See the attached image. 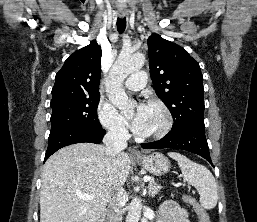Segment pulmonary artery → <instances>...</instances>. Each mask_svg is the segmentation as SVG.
I'll list each match as a JSON object with an SVG mask.
<instances>
[{"label":"pulmonary artery","instance_id":"e3ab8cb5","mask_svg":"<svg viewBox=\"0 0 257 222\" xmlns=\"http://www.w3.org/2000/svg\"><path fill=\"white\" fill-rule=\"evenodd\" d=\"M147 82V76L144 71H138L132 75H130L126 81L125 86L127 89L136 91L145 86Z\"/></svg>","mask_w":257,"mask_h":222}]
</instances>
